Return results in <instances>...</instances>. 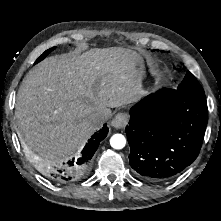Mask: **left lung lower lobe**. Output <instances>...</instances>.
<instances>
[{"label": "left lung lower lobe", "instance_id": "obj_1", "mask_svg": "<svg viewBox=\"0 0 221 221\" xmlns=\"http://www.w3.org/2000/svg\"><path fill=\"white\" fill-rule=\"evenodd\" d=\"M130 166L149 181L174 178L197 158L208 121L205 98L163 88L130 110Z\"/></svg>", "mask_w": 221, "mask_h": 221}]
</instances>
